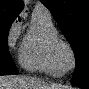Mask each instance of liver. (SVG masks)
<instances>
[{"label": "liver", "mask_w": 89, "mask_h": 89, "mask_svg": "<svg viewBox=\"0 0 89 89\" xmlns=\"http://www.w3.org/2000/svg\"><path fill=\"white\" fill-rule=\"evenodd\" d=\"M57 86H48L41 81L30 77H1V89H58Z\"/></svg>", "instance_id": "liver-1"}]
</instances>
